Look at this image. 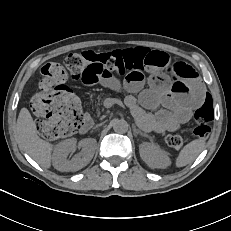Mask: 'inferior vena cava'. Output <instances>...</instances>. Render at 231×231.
Instances as JSON below:
<instances>
[{
    "instance_id": "inferior-vena-cava-1",
    "label": "inferior vena cava",
    "mask_w": 231,
    "mask_h": 231,
    "mask_svg": "<svg viewBox=\"0 0 231 231\" xmlns=\"http://www.w3.org/2000/svg\"><path fill=\"white\" fill-rule=\"evenodd\" d=\"M99 126H101V124H99V125H96V127H95V128H97V127H99Z\"/></svg>"
}]
</instances>
